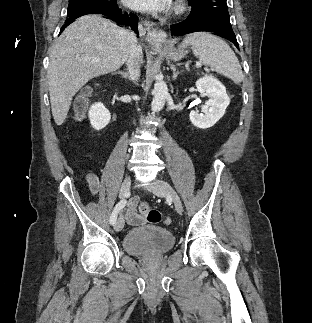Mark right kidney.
Wrapping results in <instances>:
<instances>
[{
    "label": "right kidney",
    "instance_id": "ca27d5eb",
    "mask_svg": "<svg viewBox=\"0 0 312 323\" xmlns=\"http://www.w3.org/2000/svg\"><path fill=\"white\" fill-rule=\"evenodd\" d=\"M89 120L92 128H95V130H103V128H106L108 126L110 120H111V114L101 102H96V104H93L89 110Z\"/></svg>",
    "mask_w": 312,
    "mask_h": 323
}]
</instances>
